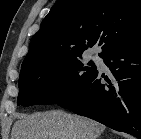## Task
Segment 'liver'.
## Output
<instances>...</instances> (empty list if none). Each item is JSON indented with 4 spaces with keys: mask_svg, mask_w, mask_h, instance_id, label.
Returning <instances> with one entry per match:
<instances>
[{
    "mask_svg": "<svg viewBox=\"0 0 141 139\" xmlns=\"http://www.w3.org/2000/svg\"><path fill=\"white\" fill-rule=\"evenodd\" d=\"M105 128L83 116L50 110L19 115L11 139H98Z\"/></svg>",
    "mask_w": 141,
    "mask_h": 139,
    "instance_id": "6515ba94",
    "label": "liver"
}]
</instances>
